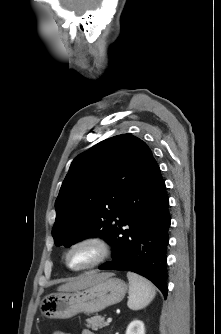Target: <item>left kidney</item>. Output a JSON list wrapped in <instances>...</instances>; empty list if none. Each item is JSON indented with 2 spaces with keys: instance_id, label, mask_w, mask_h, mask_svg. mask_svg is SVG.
<instances>
[{
  "instance_id": "5707ae66",
  "label": "left kidney",
  "mask_w": 221,
  "mask_h": 334,
  "mask_svg": "<svg viewBox=\"0 0 221 334\" xmlns=\"http://www.w3.org/2000/svg\"><path fill=\"white\" fill-rule=\"evenodd\" d=\"M125 334H145L144 323L140 320L132 321L128 325Z\"/></svg>"
}]
</instances>
